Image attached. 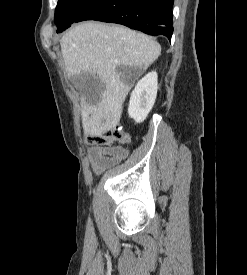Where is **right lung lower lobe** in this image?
I'll use <instances>...</instances> for the list:
<instances>
[{
	"mask_svg": "<svg viewBox=\"0 0 247 275\" xmlns=\"http://www.w3.org/2000/svg\"><path fill=\"white\" fill-rule=\"evenodd\" d=\"M173 3L174 0H98L75 22L117 23L152 36L164 35L171 40Z\"/></svg>",
	"mask_w": 247,
	"mask_h": 275,
	"instance_id": "1",
	"label": "right lung lower lobe"
}]
</instances>
